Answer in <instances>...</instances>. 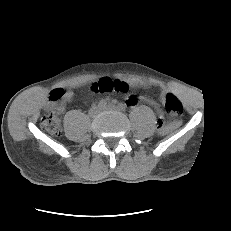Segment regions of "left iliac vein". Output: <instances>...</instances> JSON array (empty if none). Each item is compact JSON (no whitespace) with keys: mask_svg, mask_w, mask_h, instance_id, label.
<instances>
[{"mask_svg":"<svg viewBox=\"0 0 231 231\" xmlns=\"http://www.w3.org/2000/svg\"><path fill=\"white\" fill-rule=\"evenodd\" d=\"M118 107L114 106V105H108L106 107H104L102 110H117Z\"/></svg>","mask_w":231,"mask_h":231,"instance_id":"4c4485c4","label":"left iliac vein"}]
</instances>
